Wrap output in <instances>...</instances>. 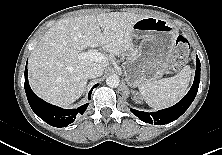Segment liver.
I'll list each match as a JSON object with an SVG mask.
<instances>
[{"instance_id": "liver-1", "label": "liver", "mask_w": 222, "mask_h": 155, "mask_svg": "<svg viewBox=\"0 0 222 155\" xmlns=\"http://www.w3.org/2000/svg\"><path fill=\"white\" fill-rule=\"evenodd\" d=\"M144 17L147 16L110 12L58 21L45 32L29 57L32 90L52 104H72L87 85L86 68L95 63L104 69L111 57L126 55L133 47V25ZM99 46L109 55L105 60L79 58L87 47Z\"/></svg>"}]
</instances>
